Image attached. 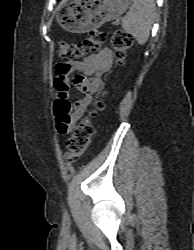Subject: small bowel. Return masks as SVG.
<instances>
[{
    "label": "small bowel",
    "instance_id": "small-bowel-1",
    "mask_svg": "<svg viewBox=\"0 0 194 250\" xmlns=\"http://www.w3.org/2000/svg\"><path fill=\"white\" fill-rule=\"evenodd\" d=\"M113 52L104 48L96 54L89 55L82 61L59 63L56 66L55 88L57 98L62 104L56 113V125L60 134H67L85 114L93 101V95L103 86L102 74L113 65ZM74 74V86L84 94L72 106L70 104L69 75Z\"/></svg>",
    "mask_w": 194,
    "mask_h": 250
}]
</instances>
